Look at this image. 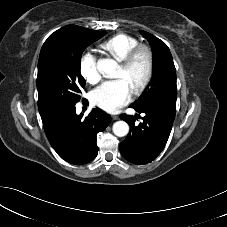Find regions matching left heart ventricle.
Listing matches in <instances>:
<instances>
[{"label":"left heart ventricle","mask_w":227,"mask_h":227,"mask_svg":"<svg viewBox=\"0 0 227 227\" xmlns=\"http://www.w3.org/2000/svg\"><path fill=\"white\" fill-rule=\"evenodd\" d=\"M146 74V60L143 56H140L134 65L128 70H122L119 68L116 72L115 78L121 79L133 91L143 80Z\"/></svg>","instance_id":"left-heart-ventricle-1"}]
</instances>
